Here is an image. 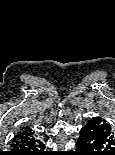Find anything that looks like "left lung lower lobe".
I'll list each match as a JSON object with an SVG mask.
<instances>
[{"label":"left lung lower lobe","mask_w":115,"mask_h":155,"mask_svg":"<svg viewBox=\"0 0 115 155\" xmlns=\"http://www.w3.org/2000/svg\"><path fill=\"white\" fill-rule=\"evenodd\" d=\"M77 155H115V131L101 117L89 120L80 130Z\"/></svg>","instance_id":"left-lung-lower-lobe-1"}]
</instances>
